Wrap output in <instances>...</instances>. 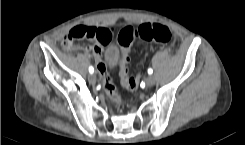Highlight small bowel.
Here are the masks:
<instances>
[{"label": "small bowel", "mask_w": 245, "mask_h": 145, "mask_svg": "<svg viewBox=\"0 0 245 145\" xmlns=\"http://www.w3.org/2000/svg\"><path fill=\"white\" fill-rule=\"evenodd\" d=\"M87 27H92L96 31H104L105 33L103 35H99L96 37L93 41H91V45L86 48L88 52H90L92 55H94L97 58V66L98 68L105 67L106 72L107 67L105 66L103 60H102V50L103 46L112 38L113 32L112 30L114 29L113 26H87ZM71 45L65 46L66 49L71 50Z\"/></svg>", "instance_id": "c3829d8e"}]
</instances>
